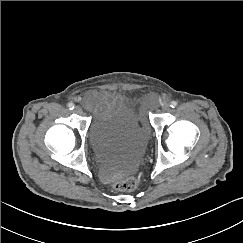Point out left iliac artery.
<instances>
[{"label":"left iliac artery","instance_id":"1","mask_svg":"<svg viewBox=\"0 0 243 243\" xmlns=\"http://www.w3.org/2000/svg\"><path fill=\"white\" fill-rule=\"evenodd\" d=\"M170 106H171L172 108H175V107L177 106V102H176V101H172V102L170 103Z\"/></svg>","mask_w":243,"mask_h":243}]
</instances>
